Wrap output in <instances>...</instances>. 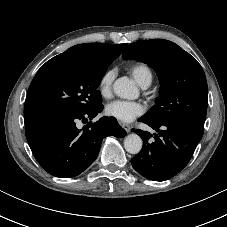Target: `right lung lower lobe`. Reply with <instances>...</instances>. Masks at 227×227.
<instances>
[{"mask_svg":"<svg viewBox=\"0 0 227 227\" xmlns=\"http://www.w3.org/2000/svg\"><path fill=\"white\" fill-rule=\"evenodd\" d=\"M103 105L79 113H56L38 118L26 126V138L38 163L51 175L70 178L86 170L96 159L102 140L124 137L126 132L114 117H102L82 129L79 120H92Z\"/></svg>","mask_w":227,"mask_h":227,"instance_id":"98d812e1","label":"right lung lower lobe"}]
</instances>
